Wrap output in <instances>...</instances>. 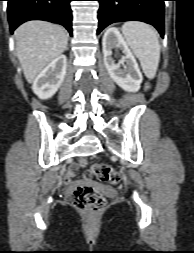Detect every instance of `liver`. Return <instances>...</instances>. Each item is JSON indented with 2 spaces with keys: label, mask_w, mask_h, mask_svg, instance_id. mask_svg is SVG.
Segmentation results:
<instances>
[{
  "label": "liver",
  "mask_w": 194,
  "mask_h": 253,
  "mask_svg": "<svg viewBox=\"0 0 194 253\" xmlns=\"http://www.w3.org/2000/svg\"><path fill=\"white\" fill-rule=\"evenodd\" d=\"M14 37L17 57L28 83L67 48L66 30L46 21H29L19 26Z\"/></svg>",
  "instance_id": "obj_1"
}]
</instances>
